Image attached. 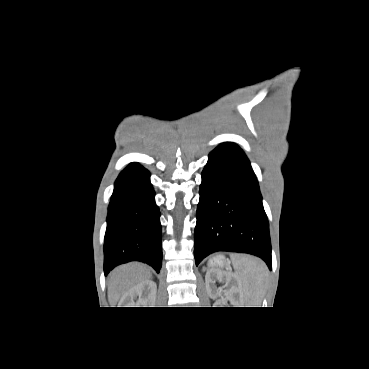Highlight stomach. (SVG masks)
I'll use <instances>...</instances> for the list:
<instances>
[{
	"instance_id": "0dacf381",
	"label": "stomach",
	"mask_w": 369,
	"mask_h": 369,
	"mask_svg": "<svg viewBox=\"0 0 369 369\" xmlns=\"http://www.w3.org/2000/svg\"><path fill=\"white\" fill-rule=\"evenodd\" d=\"M210 265L223 266V257L218 256L214 258L212 261H210Z\"/></svg>"
}]
</instances>
